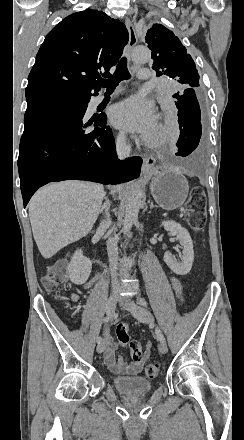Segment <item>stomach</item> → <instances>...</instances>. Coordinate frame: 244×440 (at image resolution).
<instances>
[{
	"label": "stomach",
	"mask_w": 244,
	"mask_h": 440,
	"mask_svg": "<svg viewBox=\"0 0 244 440\" xmlns=\"http://www.w3.org/2000/svg\"><path fill=\"white\" fill-rule=\"evenodd\" d=\"M151 178V194L163 210H176L183 206L189 192V184L178 168H161L147 174Z\"/></svg>",
	"instance_id": "obj_1"
}]
</instances>
